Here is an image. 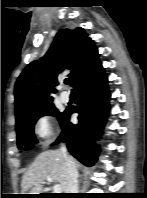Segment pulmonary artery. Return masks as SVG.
<instances>
[{
  "label": "pulmonary artery",
  "mask_w": 147,
  "mask_h": 198,
  "mask_svg": "<svg viewBox=\"0 0 147 198\" xmlns=\"http://www.w3.org/2000/svg\"><path fill=\"white\" fill-rule=\"evenodd\" d=\"M60 100L63 103H68L70 101V95H69V93L66 92V91L61 92V94H60Z\"/></svg>",
  "instance_id": "1"
}]
</instances>
